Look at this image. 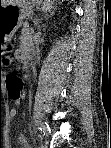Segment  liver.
Wrapping results in <instances>:
<instances>
[{"label": "liver", "mask_w": 111, "mask_h": 148, "mask_svg": "<svg viewBox=\"0 0 111 148\" xmlns=\"http://www.w3.org/2000/svg\"><path fill=\"white\" fill-rule=\"evenodd\" d=\"M23 0H2V5L6 6V5H20L22 3Z\"/></svg>", "instance_id": "1"}]
</instances>
